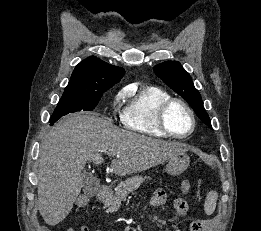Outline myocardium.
Returning <instances> with one entry per match:
<instances>
[{
    "label": "myocardium",
    "mask_w": 261,
    "mask_h": 231,
    "mask_svg": "<svg viewBox=\"0 0 261 231\" xmlns=\"http://www.w3.org/2000/svg\"><path fill=\"white\" fill-rule=\"evenodd\" d=\"M174 104L182 105L189 114V117L191 120V128L186 134H182V135L176 134V133L172 132L167 125L166 114H167L169 108ZM157 123H158V126L161 129V131L164 132L166 135L173 137V138H177V139H183V138H187L194 132L195 127H196V118H195L193 109L186 101H184L180 98H170L160 105V107L158 109V113H157Z\"/></svg>",
    "instance_id": "myocardium-1"
}]
</instances>
